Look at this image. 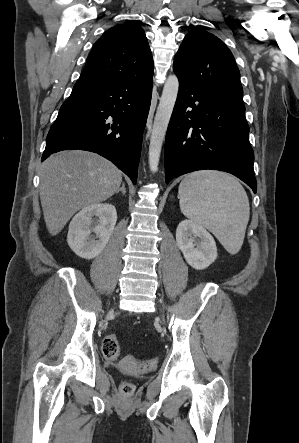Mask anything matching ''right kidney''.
I'll use <instances>...</instances> for the list:
<instances>
[{
	"label": "right kidney",
	"mask_w": 299,
	"mask_h": 443,
	"mask_svg": "<svg viewBox=\"0 0 299 443\" xmlns=\"http://www.w3.org/2000/svg\"><path fill=\"white\" fill-rule=\"evenodd\" d=\"M116 221L117 213L112 204L86 206L70 222L68 245L79 257L93 259L105 248ZM91 233H95L96 238Z\"/></svg>",
	"instance_id": "obj_1"
}]
</instances>
